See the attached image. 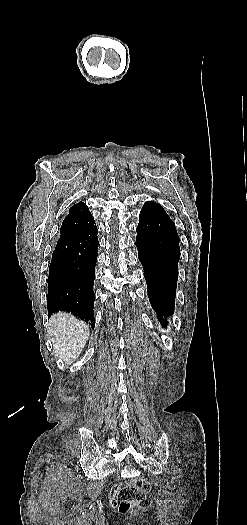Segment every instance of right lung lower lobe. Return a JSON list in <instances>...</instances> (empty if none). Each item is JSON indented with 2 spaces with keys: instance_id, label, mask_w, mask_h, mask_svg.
<instances>
[{
  "instance_id": "98d812e1",
  "label": "right lung lower lobe",
  "mask_w": 247,
  "mask_h": 525,
  "mask_svg": "<svg viewBox=\"0 0 247 525\" xmlns=\"http://www.w3.org/2000/svg\"><path fill=\"white\" fill-rule=\"evenodd\" d=\"M97 227L57 243L48 276V315L71 312L95 326L93 285L98 250Z\"/></svg>"
}]
</instances>
